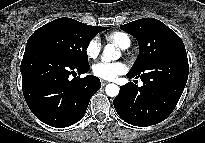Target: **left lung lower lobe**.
<instances>
[{"mask_svg":"<svg viewBox=\"0 0 205 143\" xmlns=\"http://www.w3.org/2000/svg\"><path fill=\"white\" fill-rule=\"evenodd\" d=\"M189 65L186 51H177L155 61L140 74L142 87L132 82L120 87L113 104L118 115L134 126H151L165 120L177 105L187 82Z\"/></svg>","mask_w":205,"mask_h":143,"instance_id":"0a47b994","label":"left lung lower lobe"}]
</instances>
